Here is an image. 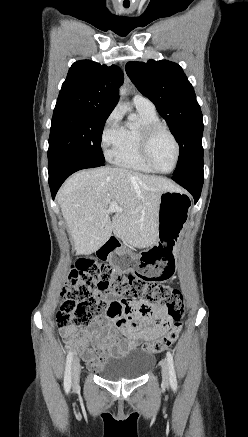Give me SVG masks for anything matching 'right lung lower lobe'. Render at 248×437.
Instances as JSON below:
<instances>
[{"label": "right lung lower lobe", "mask_w": 248, "mask_h": 437, "mask_svg": "<svg viewBox=\"0 0 248 437\" xmlns=\"http://www.w3.org/2000/svg\"><path fill=\"white\" fill-rule=\"evenodd\" d=\"M104 162L91 160L85 156L79 155H62L54 160L49 161V185L53 199L67 177L72 173L85 169L103 166Z\"/></svg>", "instance_id": "right-lung-lower-lobe-1"}]
</instances>
